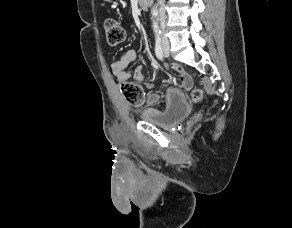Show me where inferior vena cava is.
Returning <instances> with one entry per match:
<instances>
[{"instance_id":"1","label":"inferior vena cava","mask_w":292,"mask_h":228,"mask_svg":"<svg viewBox=\"0 0 292 228\" xmlns=\"http://www.w3.org/2000/svg\"><path fill=\"white\" fill-rule=\"evenodd\" d=\"M159 4V20H160V28L162 30L161 32V41L162 42H168L167 37L164 35V29H165V0H158Z\"/></svg>"}]
</instances>
